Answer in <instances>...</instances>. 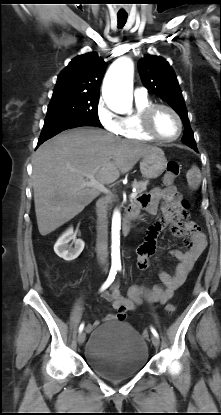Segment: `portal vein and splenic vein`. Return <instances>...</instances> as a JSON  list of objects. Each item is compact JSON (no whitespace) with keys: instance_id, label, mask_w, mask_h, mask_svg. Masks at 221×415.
<instances>
[{"instance_id":"1","label":"portal vein and splenic vein","mask_w":221,"mask_h":415,"mask_svg":"<svg viewBox=\"0 0 221 415\" xmlns=\"http://www.w3.org/2000/svg\"><path fill=\"white\" fill-rule=\"evenodd\" d=\"M89 178H91V181L89 183H86L85 186H89V187H94L104 193H110V191L105 188L104 185L100 184L99 182H97L96 180L93 179V175H87ZM137 196L136 192L133 191L130 194V198H135Z\"/></svg>"}]
</instances>
